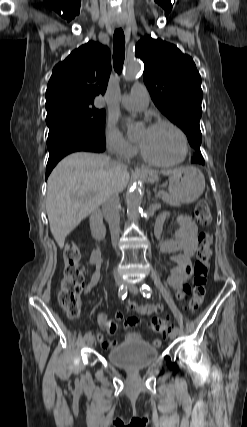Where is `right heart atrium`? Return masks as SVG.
Listing matches in <instances>:
<instances>
[{
    "label": "right heart atrium",
    "instance_id": "obj_1",
    "mask_svg": "<svg viewBox=\"0 0 247 427\" xmlns=\"http://www.w3.org/2000/svg\"><path fill=\"white\" fill-rule=\"evenodd\" d=\"M104 139L108 150L121 158H130L136 152V146L111 121H108L105 126Z\"/></svg>",
    "mask_w": 247,
    "mask_h": 427
}]
</instances>
